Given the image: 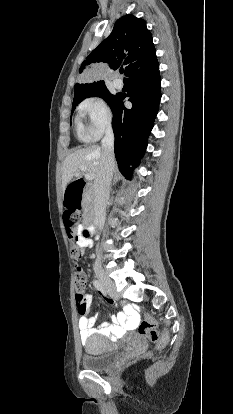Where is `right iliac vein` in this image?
Wrapping results in <instances>:
<instances>
[{"label":"right iliac vein","mask_w":233,"mask_h":414,"mask_svg":"<svg viewBox=\"0 0 233 414\" xmlns=\"http://www.w3.org/2000/svg\"><path fill=\"white\" fill-rule=\"evenodd\" d=\"M95 273L105 291L109 295L116 297L117 292L112 280L102 270H96Z\"/></svg>","instance_id":"1"}]
</instances>
